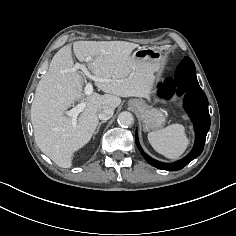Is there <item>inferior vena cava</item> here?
Listing matches in <instances>:
<instances>
[{
  "instance_id": "1",
  "label": "inferior vena cava",
  "mask_w": 236,
  "mask_h": 236,
  "mask_svg": "<svg viewBox=\"0 0 236 236\" xmlns=\"http://www.w3.org/2000/svg\"><path fill=\"white\" fill-rule=\"evenodd\" d=\"M114 109L109 106H104L98 113V118L100 120H108L113 116Z\"/></svg>"
}]
</instances>
